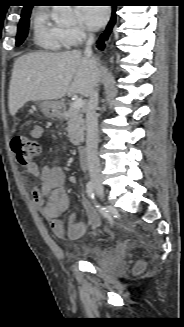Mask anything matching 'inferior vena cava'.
<instances>
[{"instance_id": "602c4592", "label": "inferior vena cava", "mask_w": 184, "mask_h": 327, "mask_svg": "<svg viewBox=\"0 0 184 327\" xmlns=\"http://www.w3.org/2000/svg\"><path fill=\"white\" fill-rule=\"evenodd\" d=\"M94 43V35L89 34L86 41V46L84 50V55L88 58H92V44ZM98 107V89L97 81L94 83V87L89 95V101L86 108V156L90 178L92 181L100 182L102 179L101 175V165L98 158V141H99V131H98V121H97V110Z\"/></svg>"}]
</instances>
